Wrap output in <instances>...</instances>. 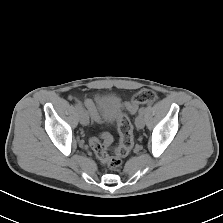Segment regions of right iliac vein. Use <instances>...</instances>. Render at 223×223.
I'll use <instances>...</instances> for the list:
<instances>
[{
    "label": "right iliac vein",
    "mask_w": 223,
    "mask_h": 223,
    "mask_svg": "<svg viewBox=\"0 0 223 223\" xmlns=\"http://www.w3.org/2000/svg\"><path fill=\"white\" fill-rule=\"evenodd\" d=\"M80 123L84 126L88 125L89 123V116L87 112L83 109L79 111Z\"/></svg>",
    "instance_id": "1"
}]
</instances>
